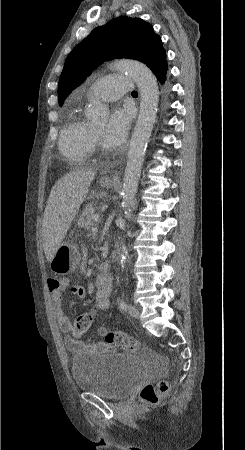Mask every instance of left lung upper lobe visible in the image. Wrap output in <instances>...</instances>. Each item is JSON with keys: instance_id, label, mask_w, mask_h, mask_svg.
Returning a JSON list of instances; mask_svg holds the SVG:
<instances>
[{"instance_id": "obj_1", "label": "left lung upper lobe", "mask_w": 245, "mask_h": 450, "mask_svg": "<svg viewBox=\"0 0 245 450\" xmlns=\"http://www.w3.org/2000/svg\"><path fill=\"white\" fill-rule=\"evenodd\" d=\"M130 58L152 71L166 61L162 41L150 24L140 18L120 16L95 28L69 54L58 85L59 105L105 60Z\"/></svg>"}]
</instances>
